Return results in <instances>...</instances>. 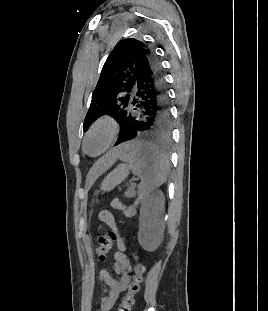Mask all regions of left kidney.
Returning <instances> with one entry per match:
<instances>
[{
	"mask_svg": "<svg viewBox=\"0 0 268 311\" xmlns=\"http://www.w3.org/2000/svg\"><path fill=\"white\" fill-rule=\"evenodd\" d=\"M164 196L162 192L153 194L140 213L138 241L149 252L155 251L162 242L164 234Z\"/></svg>",
	"mask_w": 268,
	"mask_h": 311,
	"instance_id": "left-kidney-1",
	"label": "left kidney"
}]
</instances>
